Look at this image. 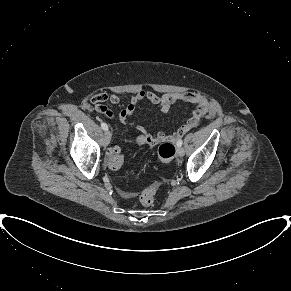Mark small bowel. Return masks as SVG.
I'll return each mask as SVG.
<instances>
[{
	"mask_svg": "<svg viewBox=\"0 0 291 291\" xmlns=\"http://www.w3.org/2000/svg\"><path fill=\"white\" fill-rule=\"evenodd\" d=\"M109 100L112 104H118L120 99L117 95L112 94L110 96L106 94H97L91 98V101L96 104V111L107 115L108 117H113V113L104 105V102ZM148 100L152 104L158 107V110L162 113H167L171 106L178 100L195 105V109L192 112L188 120L173 134L158 133L157 135H152L150 132L144 129L139 124L129 121V118L134 115L137 105L143 101ZM208 111V100L201 94L195 92H185L181 94L177 93H165L163 95H158L153 91L141 90L135 93L128 105L120 112L119 121L123 125H132L141 132L140 135L130 138L128 142L134 144H158L162 142H176L185 133L195 128L203 119ZM121 151L119 146H113L108 150L110 155L113 152ZM121 195L124 198H131L134 196L132 192L122 191Z\"/></svg>",
	"mask_w": 291,
	"mask_h": 291,
	"instance_id": "1",
	"label": "small bowel"
}]
</instances>
